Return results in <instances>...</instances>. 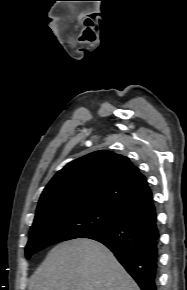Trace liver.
I'll list each match as a JSON object with an SVG mask.
<instances>
[{"label":"liver","mask_w":187,"mask_h":290,"mask_svg":"<svg viewBox=\"0 0 187 290\" xmlns=\"http://www.w3.org/2000/svg\"><path fill=\"white\" fill-rule=\"evenodd\" d=\"M28 290H140L103 244L74 239L55 246L31 276Z\"/></svg>","instance_id":"1"}]
</instances>
